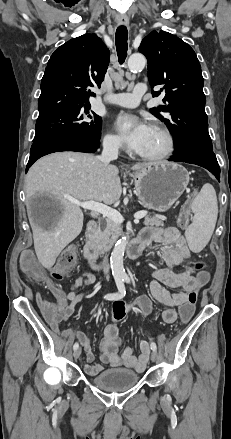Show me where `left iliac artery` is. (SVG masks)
<instances>
[{
  "label": "left iliac artery",
  "instance_id": "44dca946",
  "mask_svg": "<svg viewBox=\"0 0 231 439\" xmlns=\"http://www.w3.org/2000/svg\"><path fill=\"white\" fill-rule=\"evenodd\" d=\"M123 279H124V281L127 282V283L130 282V278H129L128 276H124ZM151 349H152L153 351H156V350H157V346H156V344H155L154 342L151 343Z\"/></svg>",
  "mask_w": 231,
  "mask_h": 439
}]
</instances>
